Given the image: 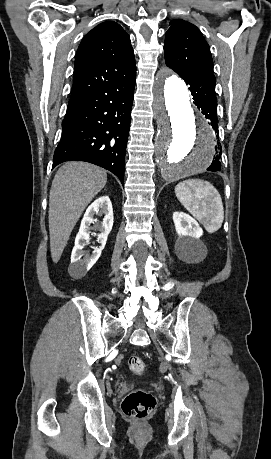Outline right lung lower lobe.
<instances>
[{
	"instance_id": "98d812e1",
	"label": "right lung lower lobe",
	"mask_w": 271,
	"mask_h": 459,
	"mask_svg": "<svg viewBox=\"0 0 271 459\" xmlns=\"http://www.w3.org/2000/svg\"><path fill=\"white\" fill-rule=\"evenodd\" d=\"M135 76L119 78L67 107L52 168L66 161H86L111 171L124 184Z\"/></svg>"
}]
</instances>
